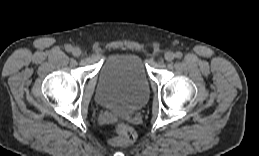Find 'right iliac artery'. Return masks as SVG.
Wrapping results in <instances>:
<instances>
[{"instance_id":"1","label":"right iliac artery","mask_w":259,"mask_h":156,"mask_svg":"<svg viewBox=\"0 0 259 156\" xmlns=\"http://www.w3.org/2000/svg\"><path fill=\"white\" fill-rule=\"evenodd\" d=\"M65 49H66L67 52H70V51H72V46L66 45Z\"/></svg>"}]
</instances>
